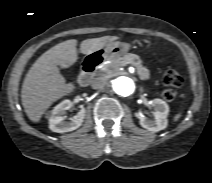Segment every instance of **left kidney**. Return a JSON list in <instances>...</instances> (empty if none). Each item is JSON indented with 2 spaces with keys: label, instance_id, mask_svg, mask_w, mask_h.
Wrapping results in <instances>:
<instances>
[{
  "label": "left kidney",
  "instance_id": "left-kidney-1",
  "mask_svg": "<svg viewBox=\"0 0 212 183\" xmlns=\"http://www.w3.org/2000/svg\"><path fill=\"white\" fill-rule=\"evenodd\" d=\"M151 104L155 108L153 120L147 119L144 115H135L139 119V123L143 128L149 131L158 132L167 127L169 106L165 101L161 99H154Z\"/></svg>",
  "mask_w": 212,
  "mask_h": 183
}]
</instances>
